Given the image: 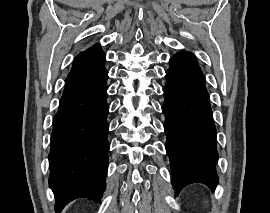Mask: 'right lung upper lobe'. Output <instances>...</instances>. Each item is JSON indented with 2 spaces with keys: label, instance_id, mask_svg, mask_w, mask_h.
I'll list each match as a JSON object with an SVG mask.
<instances>
[{
  "label": "right lung upper lobe",
  "instance_id": "cb5924a9",
  "mask_svg": "<svg viewBox=\"0 0 270 213\" xmlns=\"http://www.w3.org/2000/svg\"><path fill=\"white\" fill-rule=\"evenodd\" d=\"M104 65L105 54L100 48V45L96 44L76 56L72 69L66 80H70L88 73L97 72L103 69Z\"/></svg>",
  "mask_w": 270,
  "mask_h": 213
}]
</instances>
